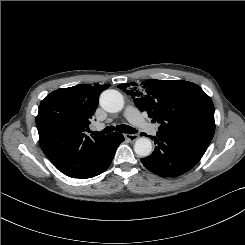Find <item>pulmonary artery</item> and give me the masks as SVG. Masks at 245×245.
<instances>
[{
  "label": "pulmonary artery",
  "mask_w": 245,
  "mask_h": 245,
  "mask_svg": "<svg viewBox=\"0 0 245 245\" xmlns=\"http://www.w3.org/2000/svg\"><path fill=\"white\" fill-rule=\"evenodd\" d=\"M124 116L127 118L129 122H131L133 125L138 127L139 129H142L149 134H156L159 125L157 124H151L147 120H145L141 114L138 112V110L133 106H128L124 112ZM103 124L98 123L95 125V128L100 129L102 128Z\"/></svg>",
  "instance_id": "pulmonary-artery-1"
}]
</instances>
